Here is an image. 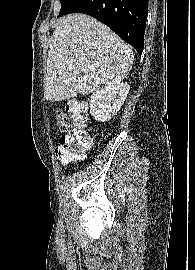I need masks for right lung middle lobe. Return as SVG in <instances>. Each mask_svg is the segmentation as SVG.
I'll list each match as a JSON object with an SVG mask.
<instances>
[{
  "label": "right lung middle lobe",
  "mask_w": 195,
  "mask_h": 270,
  "mask_svg": "<svg viewBox=\"0 0 195 270\" xmlns=\"http://www.w3.org/2000/svg\"><path fill=\"white\" fill-rule=\"evenodd\" d=\"M75 1L76 0H60V2H61V10L59 12L58 17L64 15L69 10V8L73 5V3Z\"/></svg>",
  "instance_id": "right-lung-middle-lobe-1"
}]
</instances>
